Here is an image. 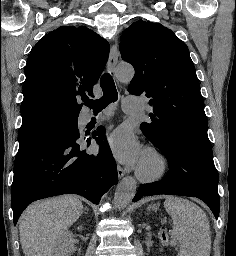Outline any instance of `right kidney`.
Masks as SVG:
<instances>
[{"label":"right kidney","instance_id":"obj_1","mask_svg":"<svg viewBox=\"0 0 236 256\" xmlns=\"http://www.w3.org/2000/svg\"><path fill=\"white\" fill-rule=\"evenodd\" d=\"M78 230H82L79 226ZM58 248L61 252L60 256H70L71 252H74V236L71 232H65L63 240L58 244Z\"/></svg>","mask_w":236,"mask_h":256}]
</instances>
